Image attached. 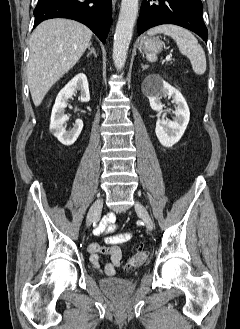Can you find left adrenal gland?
I'll use <instances>...</instances> for the list:
<instances>
[{"instance_id": "obj_1", "label": "left adrenal gland", "mask_w": 240, "mask_h": 329, "mask_svg": "<svg viewBox=\"0 0 240 329\" xmlns=\"http://www.w3.org/2000/svg\"><path fill=\"white\" fill-rule=\"evenodd\" d=\"M141 67H142V69L144 70V69H146L148 66H147V65H143V64H141Z\"/></svg>"}]
</instances>
